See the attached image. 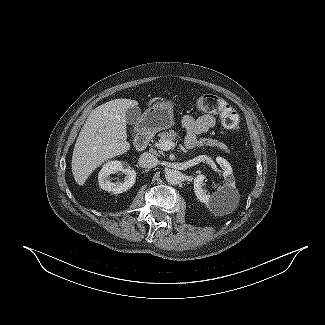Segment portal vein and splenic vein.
<instances>
[{"mask_svg":"<svg viewBox=\"0 0 325 325\" xmlns=\"http://www.w3.org/2000/svg\"><path fill=\"white\" fill-rule=\"evenodd\" d=\"M175 146V143L170 141V140H166V141H161L159 144H158V148L163 150V151H168L170 150L172 147Z\"/></svg>","mask_w":325,"mask_h":325,"instance_id":"1","label":"portal vein and splenic vein"}]
</instances>
